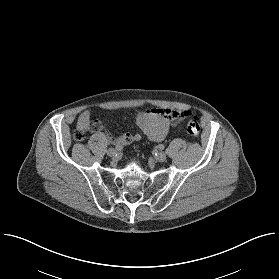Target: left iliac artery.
I'll return each instance as SVG.
<instances>
[{
	"instance_id": "1",
	"label": "left iliac artery",
	"mask_w": 279,
	"mask_h": 279,
	"mask_svg": "<svg viewBox=\"0 0 279 279\" xmlns=\"http://www.w3.org/2000/svg\"><path fill=\"white\" fill-rule=\"evenodd\" d=\"M158 149H159V150H163V149H164V145H163V144H159V145H158Z\"/></svg>"
}]
</instances>
